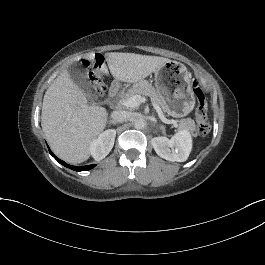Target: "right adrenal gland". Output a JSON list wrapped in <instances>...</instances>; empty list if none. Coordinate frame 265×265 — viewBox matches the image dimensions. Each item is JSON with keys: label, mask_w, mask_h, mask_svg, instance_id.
Instances as JSON below:
<instances>
[{"label": "right adrenal gland", "mask_w": 265, "mask_h": 265, "mask_svg": "<svg viewBox=\"0 0 265 265\" xmlns=\"http://www.w3.org/2000/svg\"><path fill=\"white\" fill-rule=\"evenodd\" d=\"M111 124H114V125H115V124H116V122H115V121H113V120H110V121H109V125H111Z\"/></svg>", "instance_id": "right-adrenal-gland-1"}]
</instances>
